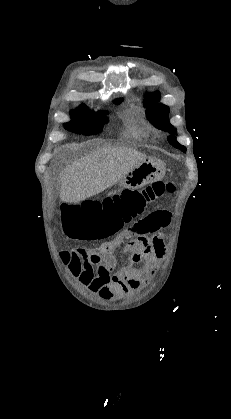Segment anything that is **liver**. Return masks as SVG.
Returning <instances> with one entry per match:
<instances>
[{
	"label": "liver",
	"instance_id": "liver-1",
	"mask_svg": "<svg viewBox=\"0 0 231 419\" xmlns=\"http://www.w3.org/2000/svg\"><path fill=\"white\" fill-rule=\"evenodd\" d=\"M144 158L145 154L126 147L97 149L61 173V201L76 204L103 192Z\"/></svg>",
	"mask_w": 231,
	"mask_h": 419
}]
</instances>
